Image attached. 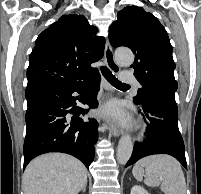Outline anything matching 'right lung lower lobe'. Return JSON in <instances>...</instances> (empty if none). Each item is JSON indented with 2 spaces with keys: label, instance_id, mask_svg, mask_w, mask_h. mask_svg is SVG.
Masks as SVG:
<instances>
[{
  "label": "right lung lower lobe",
  "instance_id": "1",
  "mask_svg": "<svg viewBox=\"0 0 201 194\" xmlns=\"http://www.w3.org/2000/svg\"><path fill=\"white\" fill-rule=\"evenodd\" d=\"M96 72L87 81L75 86L39 85L26 88V137L24 141V167L36 156L48 152H62L75 156L88 168L94 159V144L98 139V123L94 119L84 121L79 116L89 109L76 106L78 97L74 92L83 93L91 89L80 102L96 108L100 83ZM71 108V109H70ZM68 114L73 116L70 118Z\"/></svg>",
  "mask_w": 201,
  "mask_h": 194
}]
</instances>
